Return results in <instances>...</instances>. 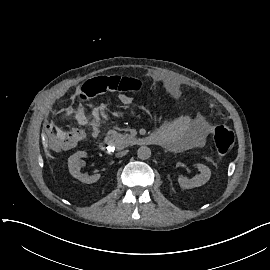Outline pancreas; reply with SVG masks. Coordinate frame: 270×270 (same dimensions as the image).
Wrapping results in <instances>:
<instances>
[{
  "instance_id": "obj_1",
  "label": "pancreas",
  "mask_w": 270,
  "mask_h": 270,
  "mask_svg": "<svg viewBox=\"0 0 270 270\" xmlns=\"http://www.w3.org/2000/svg\"><path fill=\"white\" fill-rule=\"evenodd\" d=\"M111 139L114 140V145L118 150L124 149L125 147L129 146L130 140L132 139V136L130 134L125 133V134H120L114 132L111 135Z\"/></svg>"
}]
</instances>
